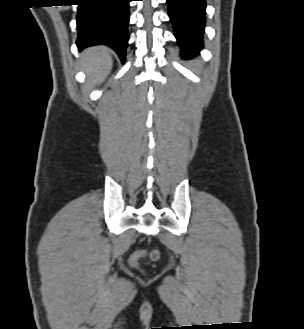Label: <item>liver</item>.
Returning a JSON list of instances; mask_svg holds the SVG:
<instances>
[{"mask_svg":"<svg viewBox=\"0 0 304 329\" xmlns=\"http://www.w3.org/2000/svg\"><path fill=\"white\" fill-rule=\"evenodd\" d=\"M81 59L88 81L93 84L102 83L112 69L110 50L105 46L85 49L81 54Z\"/></svg>","mask_w":304,"mask_h":329,"instance_id":"liver-1","label":"liver"}]
</instances>
